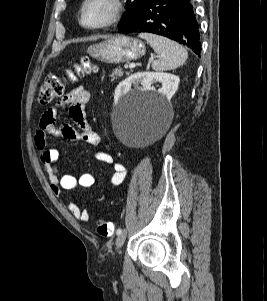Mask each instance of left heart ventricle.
<instances>
[{"label":"left heart ventricle","mask_w":267,"mask_h":301,"mask_svg":"<svg viewBox=\"0 0 267 301\" xmlns=\"http://www.w3.org/2000/svg\"><path fill=\"white\" fill-rule=\"evenodd\" d=\"M110 13L111 7L107 0H92L86 7L85 21L90 25L98 24L107 19Z\"/></svg>","instance_id":"left-heart-ventricle-1"}]
</instances>
